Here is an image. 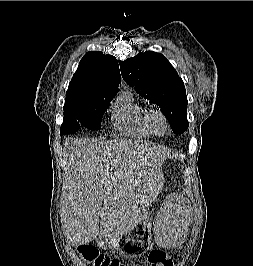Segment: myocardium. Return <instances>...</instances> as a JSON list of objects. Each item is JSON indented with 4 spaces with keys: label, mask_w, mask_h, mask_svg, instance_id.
Masks as SVG:
<instances>
[{
    "label": "myocardium",
    "mask_w": 253,
    "mask_h": 266,
    "mask_svg": "<svg viewBox=\"0 0 253 266\" xmlns=\"http://www.w3.org/2000/svg\"><path fill=\"white\" fill-rule=\"evenodd\" d=\"M156 119H160L164 123V125H165V131L164 132L160 133L157 131L156 126H155ZM147 124L150 128L151 133L156 135V136H163L169 127V123H168V120H167L165 114L162 111L155 110V109L148 111Z\"/></svg>",
    "instance_id": "f54148a6"
}]
</instances>
